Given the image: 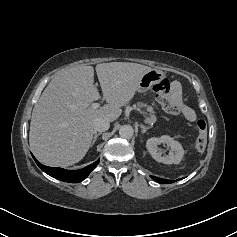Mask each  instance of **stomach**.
<instances>
[{"mask_svg":"<svg viewBox=\"0 0 237 237\" xmlns=\"http://www.w3.org/2000/svg\"><path fill=\"white\" fill-rule=\"evenodd\" d=\"M164 78H166L165 73L157 69H151L141 77L137 91L141 93L146 92Z\"/></svg>","mask_w":237,"mask_h":237,"instance_id":"obj_1","label":"stomach"}]
</instances>
